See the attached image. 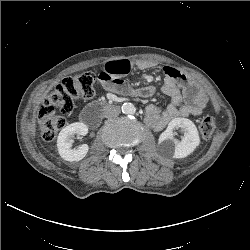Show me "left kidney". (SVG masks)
Returning <instances> with one entry per match:
<instances>
[{
	"label": "left kidney",
	"instance_id": "left-kidney-1",
	"mask_svg": "<svg viewBox=\"0 0 250 250\" xmlns=\"http://www.w3.org/2000/svg\"><path fill=\"white\" fill-rule=\"evenodd\" d=\"M180 128L184 133L181 140L174 138V130ZM200 144L195 124L187 118H174L167 129L161 133L158 145L163 155L180 159L190 155Z\"/></svg>",
	"mask_w": 250,
	"mask_h": 250
}]
</instances>
